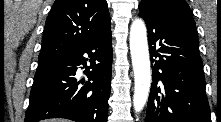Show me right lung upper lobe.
I'll list each match as a JSON object with an SVG mask.
<instances>
[{
	"instance_id": "right-lung-upper-lobe-1",
	"label": "right lung upper lobe",
	"mask_w": 221,
	"mask_h": 122,
	"mask_svg": "<svg viewBox=\"0 0 221 122\" xmlns=\"http://www.w3.org/2000/svg\"><path fill=\"white\" fill-rule=\"evenodd\" d=\"M110 30L106 0H56L45 23L38 60L62 56Z\"/></svg>"
}]
</instances>
